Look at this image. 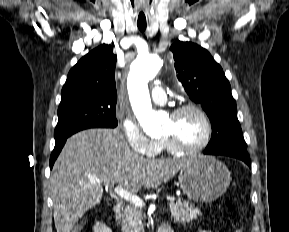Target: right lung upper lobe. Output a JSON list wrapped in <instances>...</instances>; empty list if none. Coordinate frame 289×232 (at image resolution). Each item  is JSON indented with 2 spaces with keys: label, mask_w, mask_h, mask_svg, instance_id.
I'll return each instance as SVG.
<instances>
[{
  "label": "right lung upper lobe",
  "mask_w": 289,
  "mask_h": 232,
  "mask_svg": "<svg viewBox=\"0 0 289 232\" xmlns=\"http://www.w3.org/2000/svg\"><path fill=\"white\" fill-rule=\"evenodd\" d=\"M116 59L112 47L106 44L85 55L68 73L61 92V103L90 96L117 100L114 79Z\"/></svg>",
  "instance_id": "1"
}]
</instances>
